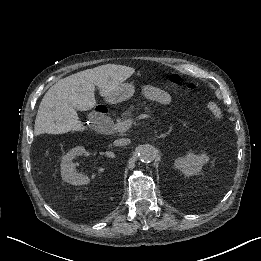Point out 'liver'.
I'll return each instance as SVG.
<instances>
[{
    "mask_svg": "<svg viewBox=\"0 0 261 261\" xmlns=\"http://www.w3.org/2000/svg\"><path fill=\"white\" fill-rule=\"evenodd\" d=\"M135 70L131 68L88 69L63 78L44 95L35 120L34 135L87 132L77 111L93 110L97 104L96 88L100 96L108 98Z\"/></svg>",
    "mask_w": 261,
    "mask_h": 261,
    "instance_id": "liver-1",
    "label": "liver"
}]
</instances>
